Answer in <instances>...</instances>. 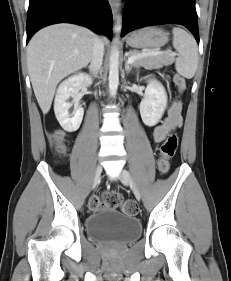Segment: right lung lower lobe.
<instances>
[{
  "label": "right lung lower lobe",
  "mask_w": 231,
  "mask_h": 281,
  "mask_svg": "<svg viewBox=\"0 0 231 281\" xmlns=\"http://www.w3.org/2000/svg\"><path fill=\"white\" fill-rule=\"evenodd\" d=\"M74 23L112 38V13L108 0H29L27 43L41 28Z\"/></svg>",
  "instance_id": "1"
}]
</instances>
